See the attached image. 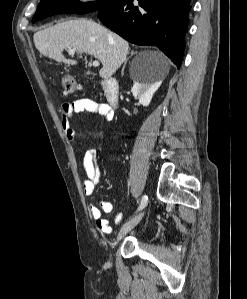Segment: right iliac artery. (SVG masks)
<instances>
[{"instance_id":"82829eb1","label":"right iliac artery","mask_w":247,"mask_h":299,"mask_svg":"<svg viewBox=\"0 0 247 299\" xmlns=\"http://www.w3.org/2000/svg\"><path fill=\"white\" fill-rule=\"evenodd\" d=\"M147 202H148V197H147L146 195H144V196L142 197L140 206H139V208H138L137 211H140V210H142L143 208H145V206L147 205Z\"/></svg>"}]
</instances>
